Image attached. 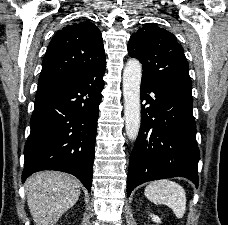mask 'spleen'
<instances>
[{
  "label": "spleen",
  "mask_w": 228,
  "mask_h": 225,
  "mask_svg": "<svg viewBox=\"0 0 228 225\" xmlns=\"http://www.w3.org/2000/svg\"><path fill=\"white\" fill-rule=\"evenodd\" d=\"M145 195L154 205H167L177 219H182L186 211V193L178 183L162 179L153 181L145 189Z\"/></svg>",
  "instance_id": "spleen-1"
}]
</instances>
